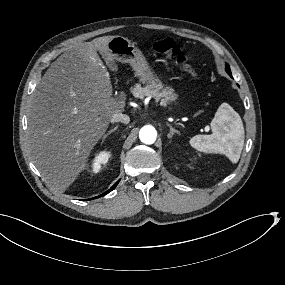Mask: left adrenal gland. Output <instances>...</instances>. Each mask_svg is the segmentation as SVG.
<instances>
[{"label": "left adrenal gland", "mask_w": 285, "mask_h": 285, "mask_svg": "<svg viewBox=\"0 0 285 285\" xmlns=\"http://www.w3.org/2000/svg\"><path fill=\"white\" fill-rule=\"evenodd\" d=\"M166 125L170 128V132L167 135L168 138H172V136L175 133L180 134V132L178 130H176L175 128H173L172 125H170L168 122L166 123Z\"/></svg>", "instance_id": "left-adrenal-gland-1"}]
</instances>
